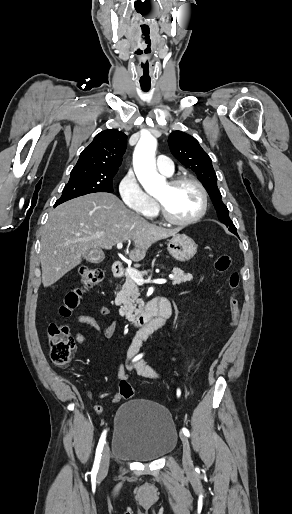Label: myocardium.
Wrapping results in <instances>:
<instances>
[{"mask_svg":"<svg viewBox=\"0 0 292 514\" xmlns=\"http://www.w3.org/2000/svg\"><path fill=\"white\" fill-rule=\"evenodd\" d=\"M167 184L171 188H175V187H178V186L184 185V184L193 186L199 194L200 206H199L197 213L194 216H192L191 218L186 219V220H178V219L171 217L168 214V212L166 211V209L164 208V206L162 205V203L159 202L158 200L154 199L156 209L159 212V214L161 215L162 219L172 225H177V226H187V225L193 224V223L197 222L198 220H200L203 217V215L205 214V211L207 208V194H206L204 187L197 180L189 178V177H177V178L169 181Z\"/></svg>","mask_w":292,"mask_h":514,"instance_id":"1","label":"myocardium"}]
</instances>
